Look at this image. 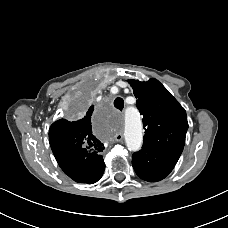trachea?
Wrapping results in <instances>:
<instances>
[{
    "label": "trachea",
    "instance_id": "1",
    "mask_svg": "<svg viewBox=\"0 0 228 228\" xmlns=\"http://www.w3.org/2000/svg\"><path fill=\"white\" fill-rule=\"evenodd\" d=\"M114 106L115 108L119 109L122 111V109L124 108V100L120 97H117L115 100H114Z\"/></svg>",
    "mask_w": 228,
    "mask_h": 228
}]
</instances>
